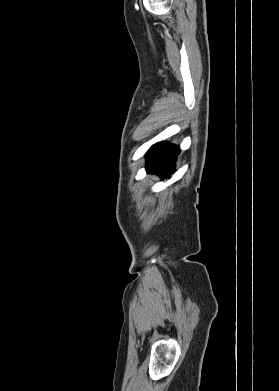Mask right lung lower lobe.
<instances>
[{"instance_id":"obj_1","label":"right lung lower lobe","mask_w":279,"mask_h":391,"mask_svg":"<svg viewBox=\"0 0 279 391\" xmlns=\"http://www.w3.org/2000/svg\"><path fill=\"white\" fill-rule=\"evenodd\" d=\"M179 153L180 149L178 146L167 143L155 144L146 154L147 172L157 173L164 178H168L173 171V166Z\"/></svg>"}]
</instances>
